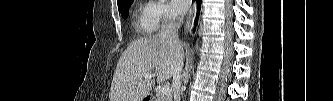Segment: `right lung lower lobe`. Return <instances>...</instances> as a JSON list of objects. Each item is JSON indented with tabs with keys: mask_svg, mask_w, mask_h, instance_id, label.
I'll list each match as a JSON object with an SVG mask.
<instances>
[{
	"mask_svg": "<svg viewBox=\"0 0 333 101\" xmlns=\"http://www.w3.org/2000/svg\"><path fill=\"white\" fill-rule=\"evenodd\" d=\"M198 6H197V14H199L200 7H201V0H197ZM195 30V29H194Z\"/></svg>",
	"mask_w": 333,
	"mask_h": 101,
	"instance_id": "right-lung-lower-lobe-1",
	"label": "right lung lower lobe"
}]
</instances>
